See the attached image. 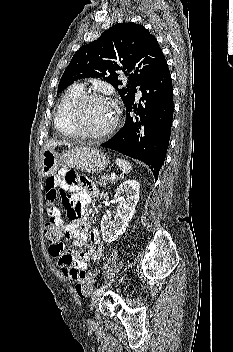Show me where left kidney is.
Returning a JSON list of instances; mask_svg holds the SVG:
<instances>
[{
    "mask_svg": "<svg viewBox=\"0 0 233 352\" xmlns=\"http://www.w3.org/2000/svg\"><path fill=\"white\" fill-rule=\"evenodd\" d=\"M140 184L136 180L124 181L116 190L114 198L119 203L113 221L110 216L103 215L101 220L102 238L106 243L117 240L128 227L136 205L139 201Z\"/></svg>",
    "mask_w": 233,
    "mask_h": 352,
    "instance_id": "1",
    "label": "left kidney"
}]
</instances>
